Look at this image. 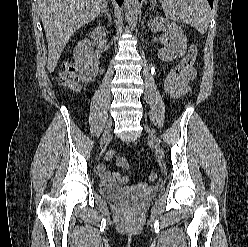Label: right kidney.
Instances as JSON below:
<instances>
[{
    "mask_svg": "<svg viewBox=\"0 0 248 247\" xmlns=\"http://www.w3.org/2000/svg\"><path fill=\"white\" fill-rule=\"evenodd\" d=\"M104 28L97 27L89 36L93 40H98L105 36ZM77 69L80 73L79 79L83 83H89L95 79L99 69V60L94 55L90 39L80 41L73 51Z\"/></svg>",
    "mask_w": 248,
    "mask_h": 247,
    "instance_id": "1",
    "label": "right kidney"
}]
</instances>
